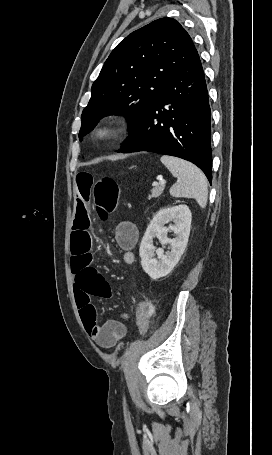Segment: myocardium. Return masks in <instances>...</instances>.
<instances>
[{"instance_id":"obj_1","label":"myocardium","mask_w":272,"mask_h":455,"mask_svg":"<svg viewBox=\"0 0 272 455\" xmlns=\"http://www.w3.org/2000/svg\"><path fill=\"white\" fill-rule=\"evenodd\" d=\"M128 129V120L124 116H108L103 118L92 130L93 139L100 144H107L120 136Z\"/></svg>"}]
</instances>
